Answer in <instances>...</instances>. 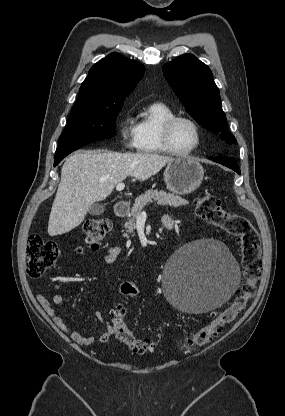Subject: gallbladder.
<instances>
[{"mask_svg":"<svg viewBox=\"0 0 285 416\" xmlns=\"http://www.w3.org/2000/svg\"><path fill=\"white\" fill-rule=\"evenodd\" d=\"M88 212L89 214H92V216H101V214H104L105 208L102 204H93Z\"/></svg>","mask_w":285,"mask_h":416,"instance_id":"gallbladder-1","label":"gallbladder"}]
</instances>
